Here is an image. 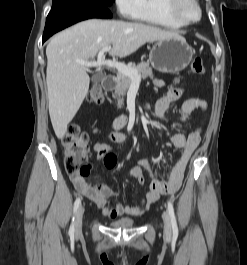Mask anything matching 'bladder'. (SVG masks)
I'll return each mask as SVG.
<instances>
[{"label":"bladder","mask_w":247,"mask_h":265,"mask_svg":"<svg viewBox=\"0 0 247 265\" xmlns=\"http://www.w3.org/2000/svg\"><path fill=\"white\" fill-rule=\"evenodd\" d=\"M109 225L113 228L129 229V228L135 227L136 221L133 219H118V220L112 221Z\"/></svg>","instance_id":"obj_1"}]
</instances>
